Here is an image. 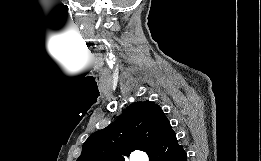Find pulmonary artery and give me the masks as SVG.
<instances>
[{"mask_svg":"<svg viewBox=\"0 0 261 161\" xmlns=\"http://www.w3.org/2000/svg\"><path fill=\"white\" fill-rule=\"evenodd\" d=\"M137 161H147V157L146 156H140Z\"/></svg>","mask_w":261,"mask_h":161,"instance_id":"1","label":"pulmonary artery"}]
</instances>
